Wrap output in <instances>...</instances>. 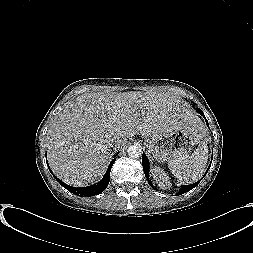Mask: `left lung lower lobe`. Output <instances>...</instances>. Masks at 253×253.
<instances>
[{
  "label": "left lung lower lobe",
  "instance_id": "obj_1",
  "mask_svg": "<svg viewBox=\"0 0 253 253\" xmlns=\"http://www.w3.org/2000/svg\"><path fill=\"white\" fill-rule=\"evenodd\" d=\"M197 110V112L199 113V114H201L204 118H205V116H204V113H203V111L200 109V108H197L196 109ZM205 120H206V118H205ZM206 123H207V126H208V121L206 120ZM212 162V161H211ZM142 165H143V170H144V172H145V176L146 177H148V175H149V161H148V159H147V157H146V155L143 153L142 154ZM209 169V168H208ZM208 171V170H207ZM207 173V172H206ZM200 181H198V182H196V183H194V184H191V185H183V186H181V189L179 190V192H178V194L177 195H181V194H183V193H185V192H188V191H190L191 189H193L198 183H199ZM153 187V186H152Z\"/></svg>",
  "mask_w": 253,
  "mask_h": 253
}]
</instances>
